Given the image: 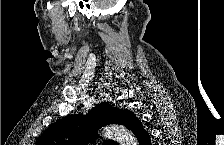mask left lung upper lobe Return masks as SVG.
Returning a JSON list of instances; mask_svg holds the SVG:
<instances>
[{
  "mask_svg": "<svg viewBox=\"0 0 224 145\" xmlns=\"http://www.w3.org/2000/svg\"><path fill=\"white\" fill-rule=\"evenodd\" d=\"M135 115L129 110H121L103 102L86 116L68 115L44 132L37 145H84L98 138V129L107 124H121L131 130ZM103 144L114 145L107 140Z\"/></svg>",
  "mask_w": 224,
  "mask_h": 145,
  "instance_id": "5c2ea615",
  "label": "left lung upper lobe"
}]
</instances>
